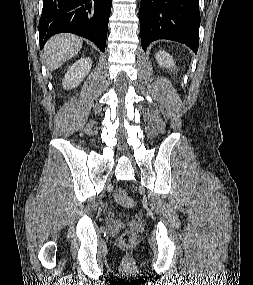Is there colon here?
I'll return each mask as SVG.
<instances>
[{"label":"colon","mask_w":253,"mask_h":285,"mask_svg":"<svg viewBox=\"0 0 253 285\" xmlns=\"http://www.w3.org/2000/svg\"><path fill=\"white\" fill-rule=\"evenodd\" d=\"M115 200L118 204L132 207L135 205L134 200L130 197L128 192L124 189H117L115 192ZM136 241V234L133 231L127 230L121 234L120 244L123 247L132 246Z\"/></svg>","instance_id":"colon-1"}]
</instances>
